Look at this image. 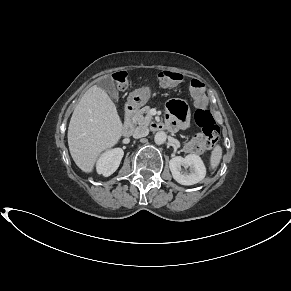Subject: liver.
I'll return each mask as SVG.
<instances>
[{
  "label": "liver",
  "mask_w": 291,
  "mask_h": 291,
  "mask_svg": "<svg viewBox=\"0 0 291 291\" xmlns=\"http://www.w3.org/2000/svg\"><path fill=\"white\" fill-rule=\"evenodd\" d=\"M123 134L117 108L108 94L94 85L74 109L68 127V145L76 165L91 173L103 151L115 146Z\"/></svg>",
  "instance_id": "1"
}]
</instances>
